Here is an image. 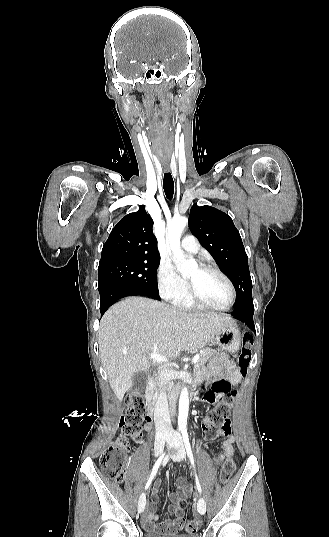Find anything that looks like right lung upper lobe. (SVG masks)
<instances>
[{"label":"right lung upper lobe","instance_id":"obj_1","mask_svg":"<svg viewBox=\"0 0 329 537\" xmlns=\"http://www.w3.org/2000/svg\"><path fill=\"white\" fill-rule=\"evenodd\" d=\"M153 220L145 206L124 216L112 229L103 245L100 264L116 261H147L159 258Z\"/></svg>","mask_w":329,"mask_h":537}]
</instances>
